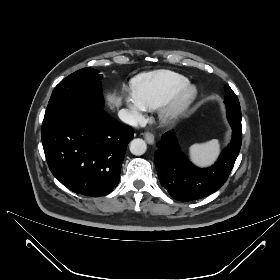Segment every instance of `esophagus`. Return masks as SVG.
<instances>
[{"label": "esophagus", "mask_w": 280, "mask_h": 280, "mask_svg": "<svg viewBox=\"0 0 280 280\" xmlns=\"http://www.w3.org/2000/svg\"><path fill=\"white\" fill-rule=\"evenodd\" d=\"M144 138L148 144H153L154 143V135L150 132L144 133Z\"/></svg>", "instance_id": "34e87169"}]
</instances>
